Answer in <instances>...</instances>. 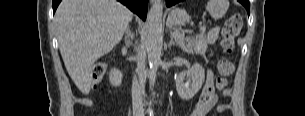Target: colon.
I'll return each mask as SVG.
<instances>
[{
  "mask_svg": "<svg viewBox=\"0 0 305 116\" xmlns=\"http://www.w3.org/2000/svg\"><path fill=\"white\" fill-rule=\"evenodd\" d=\"M242 27V17L238 13H232L225 21L222 28V47L224 55L218 60V76L216 87L224 89L228 85V78L234 71L233 52L235 50V39ZM107 71L105 63H96L91 70V81L97 84L101 81Z\"/></svg>",
  "mask_w": 305,
  "mask_h": 116,
  "instance_id": "colon-1",
  "label": "colon"
}]
</instances>
